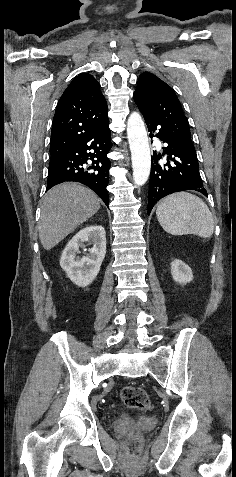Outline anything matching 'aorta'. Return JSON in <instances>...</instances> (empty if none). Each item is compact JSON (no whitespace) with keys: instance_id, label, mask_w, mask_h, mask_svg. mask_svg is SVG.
Returning a JSON list of instances; mask_svg holds the SVG:
<instances>
[{"instance_id":"obj_1","label":"aorta","mask_w":236,"mask_h":477,"mask_svg":"<svg viewBox=\"0 0 236 477\" xmlns=\"http://www.w3.org/2000/svg\"><path fill=\"white\" fill-rule=\"evenodd\" d=\"M127 137L131 151L134 183L142 186L150 175L151 152L144 121L137 112H133L128 118Z\"/></svg>"}]
</instances>
